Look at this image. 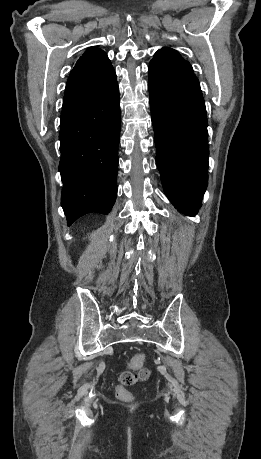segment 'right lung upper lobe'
<instances>
[{
    "label": "right lung upper lobe",
    "instance_id": "1",
    "mask_svg": "<svg viewBox=\"0 0 261 459\" xmlns=\"http://www.w3.org/2000/svg\"><path fill=\"white\" fill-rule=\"evenodd\" d=\"M116 82L107 54L96 47L88 48L69 75L61 115L93 101Z\"/></svg>",
    "mask_w": 261,
    "mask_h": 459
}]
</instances>
